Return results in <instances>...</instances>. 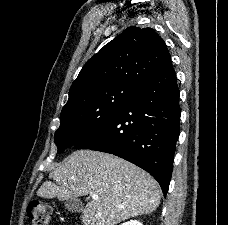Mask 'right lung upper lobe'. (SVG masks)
I'll return each mask as SVG.
<instances>
[{"instance_id": "1", "label": "right lung upper lobe", "mask_w": 228, "mask_h": 225, "mask_svg": "<svg viewBox=\"0 0 228 225\" xmlns=\"http://www.w3.org/2000/svg\"><path fill=\"white\" fill-rule=\"evenodd\" d=\"M170 61L165 42L152 28L128 27L87 61L70 88L67 103L108 84L138 88Z\"/></svg>"}]
</instances>
